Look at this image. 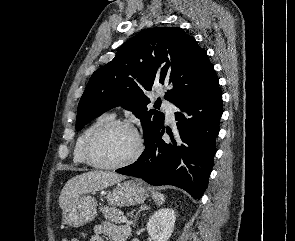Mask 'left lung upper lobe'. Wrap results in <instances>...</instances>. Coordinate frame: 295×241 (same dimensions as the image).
<instances>
[{
	"label": "left lung upper lobe",
	"instance_id": "5c2ea615",
	"mask_svg": "<svg viewBox=\"0 0 295 241\" xmlns=\"http://www.w3.org/2000/svg\"><path fill=\"white\" fill-rule=\"evenodd\" d=\"M215 75L206 51L183 29L144 30L92 74L78 105L76 130L121 105L141 120L147 145L164 124V114L147 109L150 100L144 92L154 84L168 85L164 98L176 104Z\"/></svg>",
	"mask_w": 295,
	"mask_h": 241
}]
</instances>
